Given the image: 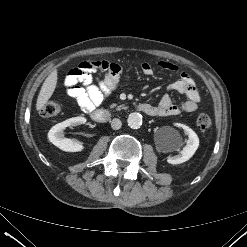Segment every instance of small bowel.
I'll return each instance as SVG.
<instances>
[{
	"mask_svg": "<svg viewBox=\"0 0 247 247\" xmlns=\"http://www.w3.org/2000/svg\"><path fill=\"white\" fill-rule=\"evenodd\" d=\"M158 65L161 69L169 72L179 71L177 65L168 61H160ZM140 68L142 73L147 76L154 72L153 66L148 62H143ZM121 73V67L111 61L81 62L70 70L65 78L66 94L82 110L92 111L116 89ZM167 90L184 94L186 100L181 105H177L166 93L158 105L154 106L157 110L155 116L169 117L176 116L182 111L194 112L197 110L201 95L194 81L186 72H182L178 80L170 83Z\"/></svg>",
	"mask_w": 247,
	"mask_h": 247,
	"instance_id": "c3829d8e",
	"label": "small bowel"
}]
</instances>
